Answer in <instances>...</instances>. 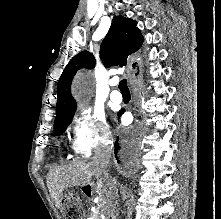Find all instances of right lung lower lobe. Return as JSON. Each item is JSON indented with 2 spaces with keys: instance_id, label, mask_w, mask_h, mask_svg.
<instances>
[{
  "instance_id": "98d812e1",
  "label": "right lung lower lobe",
  "mask_w": 221,
  "mask_h": 219,
  "mask_svg": "<svg viewBox=\"0 0 221 219\" xmlns=\"http://www.w3.org/2000/svg\"><path fill=\"white\" fill-rule=\"evenodd\" d=\"M123 113V110H121L119 113H118V116H120L121 114ZM118 138H117V140H116V142H115V149H114V153H115V155H117V153L118 154H122L124 151H125V149H126V147H124L122 144H120L119 142H118ZM117 159V161L119 162V160H118V158H116Z\"/></svg>"
}]
</instances>
